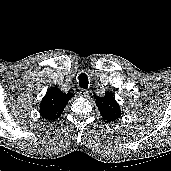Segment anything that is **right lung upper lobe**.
Masks as SVG:
<instances>
[{
    "label": "right lung upper lobe",
    "mask_w": 171,
    "mask_h": 171,
    "mask_svg": "<svg viewBox=\"0 0 171 171\" xmlns=\"http://www.w3.org/2000/svg\"><path fill=\"white\" fill-rule=\"evenodd\" d=\"M73 94L54 87L48 90L40 103V115L47 120L58 119Z\"/></svg>",
    "instance_id": "cb5924a9"
}]
</instances>
